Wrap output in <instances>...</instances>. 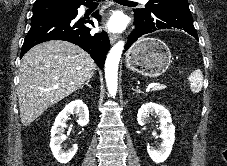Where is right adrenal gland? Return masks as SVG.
<instances>
[{
	"label": "right adrenal gland",
	"instance_id": "2a0ac1e0",
	"mask_svg": "<svg viewBox=\"0 0 227 166\" xmlns=\"http://www.w3.org/2000/svg\"><path fill=\"white\" fill-rule=\"evenodd\" d=\"M89 82H90V79H88V80L86 81L85 85H87L88 87H90V88H91V86H90Z\"/></svg>",
	"mask_w": 227,
	"mask_h": 166
}]
</instances>
